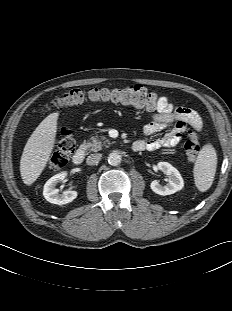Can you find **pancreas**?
Instances as JSON below:
<instances>
[{
    "mask_svg": "<svg viewBox=\"0 0 232 311\" xmlns=\"http://www.w3.org/2000/svg\"><path fill=\"white\" fill-rule=\"evenodd\" d=\"M103 139H104L103 137L101 139H99L98 137L93 136L90 138L89 141L83 142V144L81 146L86 150L97 152V151L102 150V147L106 143L110 144V142L108 140L101 142V140H103Z\"/></svg>",
    "mask_w": 232,
    "mask_h": 311,
    "instance_id": "pancreas-1",
    "label": "pancreas"
}]
</instances>
